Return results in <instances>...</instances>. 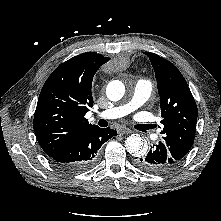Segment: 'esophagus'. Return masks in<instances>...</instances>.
<instances>
[{"instance_id": "34e87169", "label": "esophagus", "mask_w": 221, "mask_h": 221, "mask_svg": "<svg viewBox=\"0 0 221 221\" xmlns=\"http://www.w3.org/2000/svg\"><path fill=\"white\" fill-rule=\"evenodd\" d=\"M118 132H119V134L124 135V134H129V133H131L132 131H131L130 129H128V128L122 127V128H120V129L118 130Z\"/></svg>"}]
</instances>
